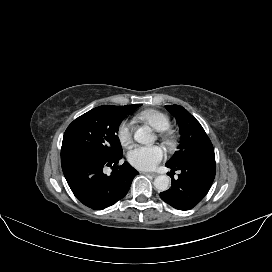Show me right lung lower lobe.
Segmentation results:
<instances>
[{
    "label": "right lung lower lobe",
    "mask_w": 272,
    "mask_h": 272,
    "mask_svg": "<svg viewBox=\"0 0 272 272\" xmlns=\"http://www.w3.org/2000/svg\"><path fill=\"white\" fill-rule=\"evenodd\" d=\"M121 158H105L85 149L61 150L62 170L70 189L81 203L95 210L122 199L138 174L128 162L117 166ZM105 166H112L111 175L103 173Z\"/></svg>",
    "instance_id": "obj_1"
}]
</instances>
